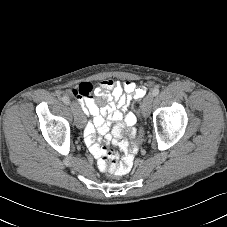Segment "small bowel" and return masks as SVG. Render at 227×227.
<instances>
[{
  "label": "small bowel",
  "instance_id": "1",
  "mask_svg": "<svg viewBox=\"0 0 227 227\" xmlns=\"http://www.w3.org/2000/svg\"><path fill=\"white\" fill-rule=\"evenodd\" d=\"M72 94L78 99L84 113L92 116V121L85 126L84 140L97 160L108 153L106 146L110 143L119 146L124 154L128 150L134 153L121 138L126 130L131 136L136 134L133 128L136 116L128 111V106L132 100L144 96V87L129 80L120 82L107 78L100 80L96 86L89 82L82 83L72 89ZM112 124L114 126L109 132ZM98 166L104 171L101 165Z\"/></svg>",
  "mask_w": 227,
  "mask_h": 227
}]
</instances>
